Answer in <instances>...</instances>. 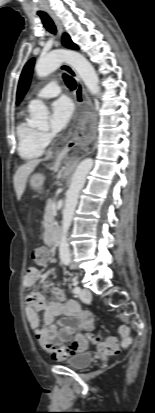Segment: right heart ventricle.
Here are the masks:
<instances>
[{"mask_svg": "<svg viewBox=\"0 0 155 413\" xmlns=\"http://www.w3.org/2000/svg\"><path fill=\"white\" fill-rule=\"evenodd\" d=\"M17 150L19 156L24 160H35L44 153V144L40 138V132L32 127L27 119L23 117L16 128Z\"/></svg>", "mask_w": 155, "mask_h": 413, "instance_id": "1", "label": "right heart ventricle"}]
</instances>
